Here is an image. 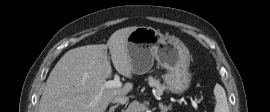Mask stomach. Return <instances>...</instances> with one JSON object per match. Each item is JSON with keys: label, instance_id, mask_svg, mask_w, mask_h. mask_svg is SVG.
I'll list each match as a JSON object with an SVG mask.
<instances>
[{"label": "stomach", "instance_id": "0dacf381", "mask_svg": "<svg viewBox=\"0 0 270 112\" xmlns=\"http://www.w3.org/2000/svg\"><path fill=\"white\" fill-rule=\"evenodd\" d=\"M128 54L134 74H145L154 60L168 72L163 76L172 93L185 92L191 83L190 54L175 36L163 35L152 27L141 26L128 37Z\"/></svg>", "mask_w": 270, "mask_h": 112}]
</instances>
